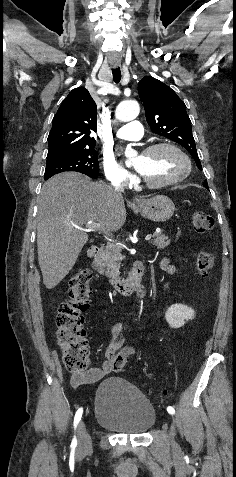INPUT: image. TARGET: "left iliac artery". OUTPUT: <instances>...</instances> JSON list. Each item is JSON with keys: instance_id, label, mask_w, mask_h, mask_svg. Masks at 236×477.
I'll return each mask as SVG.
<instances>
[{"instance_id": "obj_1", "label": "left iliac artery", "mask_w": 236, "mask_h": 477, "mask_svg": "<svg viewBox=\"0 0 236 477\" xmlns=\"http://www.w3.org/2000/svg\"><path fill=\"white\" fill-rule=\"evenodd\" d=\"M167 411H168V413H169V412H172V413L175 414V410H174V408L171 407V406H168V407H167Z\"/></svg>"}]
</instances>
